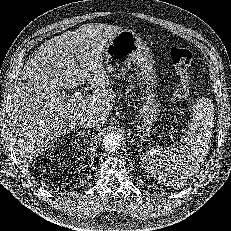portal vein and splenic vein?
<instances>
[{
  "label": "portal vein and splenic vein",
  "instance_id": "portal-vein-and-splenic-vein-1",
  "mask_svg": "<svg viewBox=\"0 0 231 231\" xmlns=\"http://www.w3.org/2000/svg\"><path fill=\"white\" fill-rule=\"evenodd\" d=\"M81 97H82V92H75L74 94L70 96V101H75L76 98H81Z\"/></svg>",
  "mask_w": 231,
  "mask_h": 231
}]
</instances>
